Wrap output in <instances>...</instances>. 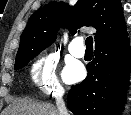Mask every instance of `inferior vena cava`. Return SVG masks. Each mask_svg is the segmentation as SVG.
Returning <instances> with one entry per match:
<instances>
[{
    "mask_svg": "<svg viewBox=\"0 0 131 115\" xmlns=\"http://www.w3.org/2000/svg\"><path fill=\"white\" fill-rule=\"evenodd\" d=\"M63 94L64 92H59L55 95L56 105L59 111V115H68V111L63 100Z\"/></svg>",
    "mask_w": 131,
    "mask_h": 115,
    "instance_id": "1",
    "label": "inferior vena cava"
}]
</instances>
